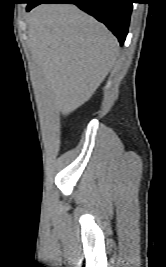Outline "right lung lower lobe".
Returning a JSON list of instances; mask_svg holds the SVG:
<instances>
[{"label":"right lung lower lobe","mask_w":166,"mask_h":267,"mask_svg":"<svg viewBox=\"0 0 166 267\" xmlns=\"http://www.w3.org/2000/svg\"><path fill=\"white\" fill-rule=\"evenodd\" d=\"M132 0H30L27 11L42 3H72L104 23L124 44L132 10Z\"/></svg>","instance_id":"1"}]
</instances>
